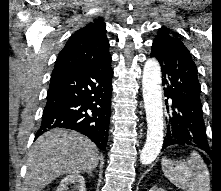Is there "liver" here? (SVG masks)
<instances>
[{
	"mask_svg": "<svg viewBox=\"0 0 221 191\" xmlns=\"http://www.w3.org/2000/svg\"><path fill=\"white\" fill-rule=\"evenodd\" d=\"M98 161V148L90 139L72 130L52 129L28 154L25 190L41 191L61 175L93 171Z\"/></svg>",
	"mask_w": 221,
	"mask_h": 191,
	"instance_id": "obj_1",
	"label": "liver"
}]
</instances>
